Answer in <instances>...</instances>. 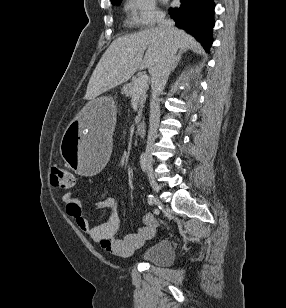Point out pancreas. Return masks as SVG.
I'll list each match as a JSON object with an SVG mask.
<instances>
[{
  "label": "pancreas",
  "mask_w": 286,
  "mask_h": 308,
  "mask_svg": "<svg viewBox=\"0 0 286 308\" xmlns=\"http://www.w3.org/2000/svg\"><path fill=\"white\" fill-rule=\"evenodd\" d=\"M138 78H134L132 79V81L128 84H126L122 89H121V94L124 95L125 97H133L136 93H135V84L137 82ZM149 89L148 85H146V87L140 91L137 96L139 98V112H138V116H137V121H140V117H141V113L144 107V103L146 101L147 98V90Z\"/></svg>",
  "instance_id": "pancreas-1"
}]
</instances>
